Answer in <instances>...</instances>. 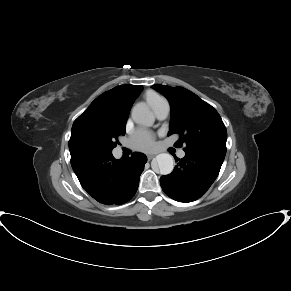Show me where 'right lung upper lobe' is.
<instances>
[{"mask_svg":"<svg viewBox=\"0 0 291 291\" xmlns=\"http://www.w3.org/2000/svg\"><path fill=\"white\" fill-rule=\"evenodd\" d=\"M142 89L141 85H121L97 97L73 123L69 140L71 156L80 154L75 142L82 130L109 125H126L130 108Z\"/></svg>","mask_w":291,"mask_h":291,"instance_id":"right-lung-upper-lobe-1","label":"right lung upper lobe"}]
</instances>
